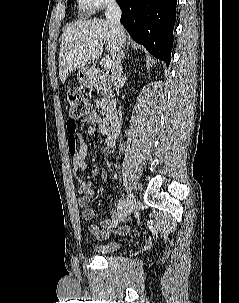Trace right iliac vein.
<instances>
[{
    "label": "right iliac vein",
    "instance_id": "obj_1",
    "mask_svg": "<svg viewBox=\"0 0 239 303\" xmlns=\"http://www.w3.org/2000/svg\"><path fill=\"white\" fill-rule=\"evenodd\" d=\"M136 205L135 197L132 193L127 197L122 209L116 214L112 221V227H116L118 223L127 218L133 211Z\"/></svg>",
    "mask_w": 239,
    "mask_h": 303
}]
</instances>
